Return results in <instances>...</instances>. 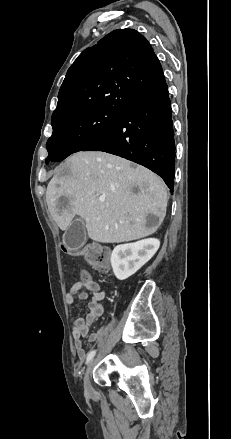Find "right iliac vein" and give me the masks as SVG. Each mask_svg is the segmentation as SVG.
I'll list each match as a JSON object with an SVG mask.
<instances>
[{
	"label": "right iliac vein",
	"mask_w": 231,
	"mask_h": 439,
	"mask_svg": "<svg viewBox=\"0 0 231 439\" xmlns=\"http://www.w3.org/2000/svg\"><path fill=\"white\" fill-rule=\"evenodd\" d=\"M94 360H91L85 370V374H84V387H85V391L88 394H93L94 390L92 387V384L90 382V375L92 372V369L94 367Z\"/></svg>",
	"instance_id": "obj_1"
}]
</instances>
